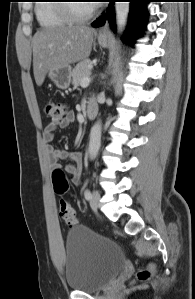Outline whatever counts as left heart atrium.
<instances>
[{
  "mask_svg": "<svg viewBox=\"0 0 195 299\" xmlns=\"http://www.w3.org/2000/svg\"><path fill=\"white\" fill-rule=\"evenodd\" d=\"M96 1H100V0H96ZM95 4H100L101 2H94Z\"/></svg>",
  "mask_w": 195,
  "mask_h": 299,
  "instance_id": "obj_1",
  "label": "left heart atrium"
}]
</instances>
